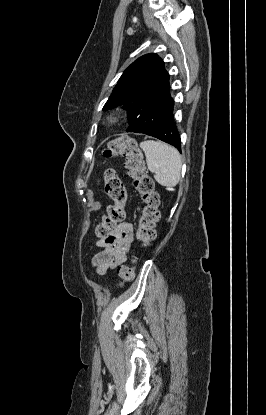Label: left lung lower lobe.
<instances>
[{"label": "left lung lower lobe", "mask_w": 266, "mask_h": 415, "mask_svg": "<svg viewBox=\"0 0 266 415\" xmlns=\"http://www.w3.org/2000/svg\"><path fill=\"white\" fill-rule=\"evenodd\" d=\"M144 134L156 137L166 143H169L181 151V139L176 128L173 110L169 116L157 127L144 132Z\"/></svg>", "instance_id": "1"}]
</instances>
